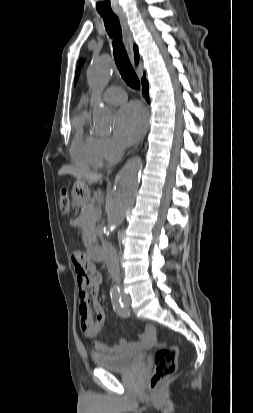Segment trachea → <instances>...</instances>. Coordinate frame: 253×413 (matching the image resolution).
<instances>
[{"instance_id":"1","label":"trachea","mask_w":253,"mask_h":413,"mask_svg":"<svg viewBox=\"0 0 253 413\" xmlns=\"http://www.w3.org/2000/svg\"><path fill=\"white\" fill-rule=\"evenodd\" d=\"M100 15L104 20L108 35L113 39V55L122 78L128 86L134 89H139L140 81L128 59L126 50L122 43L121 26L118 17L115 14Z\"/></svg>"}]
</instances>
